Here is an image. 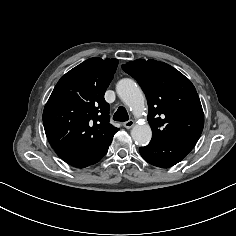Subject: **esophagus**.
<instances>
[{"mask_svg":"<svg viewBox=\"0 0 236 236\" xmlns=\"http://www.w3.org/2000/svg\"><path fill=\"white\" fill-rule=\"evenodd\" d=\"M123 126L126 128V129H130L134 126V121L133 120H128L126 122L123 123Z\"/></svg>","mask_w":236,"mask_h":236,"instance_id":"esophagus-1","label":"esophagus"}]
</instances>
